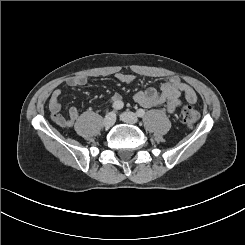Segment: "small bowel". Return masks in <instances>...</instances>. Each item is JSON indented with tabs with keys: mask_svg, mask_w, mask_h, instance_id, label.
<instances>
[{
	"mask_svg": "<svg viewBox=\"0 0 245 245\" xmlns=\"http://www.w3.org/2000/svg\"><path fill=\"white\" fill-rule=\"evenodd\" d=\"M116 78L122 83H131L135 76L129 73H117ZM70 87H79L87 83L85 76H72L66 80ZM184 94L185 99L195 104L197 102V95L195 91L179 77L173 76L166 80L157 90L149 87L135 93L134 100L139 105L145 108L165 106L169 113L175 110L182 104L181 95ZM61 90L55 89L49 100L50 117L54 123L62 128H71L78 119L79 113L75 107H70L66 116L61 113ZM110 101L112 104L121 101V95L114 93Z\"/></svg>",
	"mask_w": 245,
	"mask_h": 245,
	"instance_id": "c3829d8e",
	"label": "small bowel"
}]
</instances>
